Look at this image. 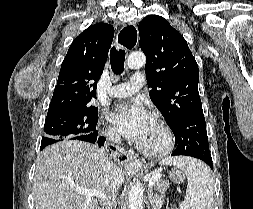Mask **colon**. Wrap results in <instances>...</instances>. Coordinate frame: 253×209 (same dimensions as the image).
I'll return each instance as SVG.
<instances>
[{
    "label": "colon",
    "instance_id": "1",
    "mask_svg": "<svg viewBox=\"0 0 253 209\" xmlns=\"http://www.w3.org/2000/svg\"><path fill=\"white\" fill-rule=\"evenodd\" d=\"M172 180L175 182H179L182 179V174L180 173H173L171 176Z\"/></svg>",
    "mask_w": 253,
    "mask_h": 209
}]
</instances>
